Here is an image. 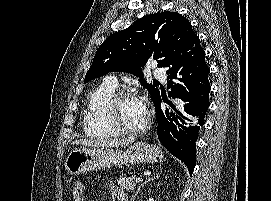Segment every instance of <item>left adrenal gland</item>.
Wrapping results in <instances>:
<instances>
[{"instance_id": "obj_1", "label": "left adrenal gland", "mask_w": 271, "mask_h": 201, "mask_svg": "<svg viewBox=\"0 0 271 201\" xmlns=\"http://www.w3.org/2000/svg\"><path fill=\"white\" fill-rule=\"evenodd\" d=\"M155 177L158 178V174H156ZM155 177L150 178V179H148L147 181H145L143 184H141V185L138 187L136 193L134 194L133 199H135V197L137 196V194H138V192L140 191L141 187L144 186L145 184H147L148 182H150L151 180H154Z\"/></svg>"}]
</instances>
